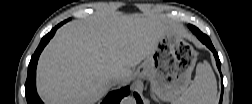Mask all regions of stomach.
Masks as SVG:
<instances>
[{
	"label": "stomach",
	"mask_w": 252,
	"mask_h": 104,
	"mask_svg": "<svg viewBox=\"0 0 252 104\" xmlns=\"http://www.w3.org/2000/svg\"><path fill=\"white\" fill-rule=\"evenodd\" d=\"M197 61V52L170 28L136 71L150 81L152 91L165 102L175 103L187 89Z\"/></svg>",
	"instance_id": "obj_1"
}]
</instances>
